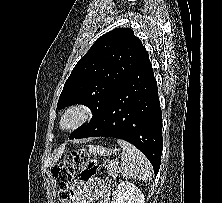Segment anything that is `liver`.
Masks as SVG:
<instances>
[{"mask_svg":"<svg viewBox=\"0 0 222 203\" xmlns=\"http://www.w3.org/2000/svg\"><path fill=\"white\" fill-rule=\"evenodd\" d=\"M64 152V146H62L61 148H59L54 155V158L52 160V165L57 162L59 160V158L61 157L62 153Z\"/></svg>","mask_w":222,"mask_h":203,"instance_id":"obj_1","label":"liver"}]
</instances>
